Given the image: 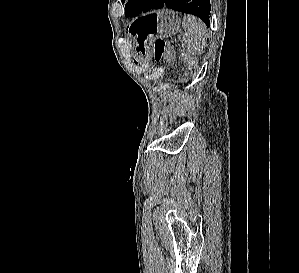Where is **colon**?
Wrapping results in <instances>:
<instances>
[{"mask_svg":"<svg viewBox=\"0 0 299 273\" xmlns=\"http://www.w3.org/2000/svg\"><path fill=\"white\" fill-rule=\"evenodd\" d=\"M154 50L157 61H171L174 58L173 50L164 40H157L154 45Z\"/></svg>","mask_w":299,"mask_h":273,"instance_id":"colon-1","label":"colon"}]
</instances>
